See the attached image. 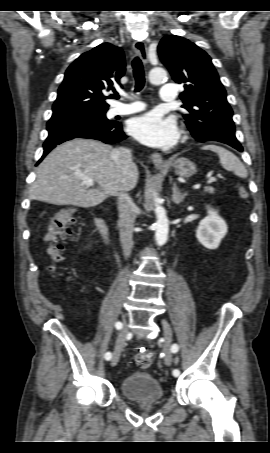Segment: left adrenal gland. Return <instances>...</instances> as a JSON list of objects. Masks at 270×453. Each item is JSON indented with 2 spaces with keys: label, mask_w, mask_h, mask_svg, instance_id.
I'll list each match as a JSON object with an SVG mask.
<instances>
[{
  "label": "left adrenal gland",
  "mask_w": 270,
  "mask_h": 453,
  "mask_svg": "<svg viewBox=\"0 0 270 453\" xmlns=\"http://www.w3.org/2000/svg\"><path fill=\"white\" fill-rule=\"evenodd\" d=\"M187 193H181L177 184L174 182L172 187V201L175 204H180L184 198L186 197Z\"/></svg>",
  "instance_id": "obj_1"
}]
</instances>
